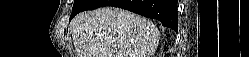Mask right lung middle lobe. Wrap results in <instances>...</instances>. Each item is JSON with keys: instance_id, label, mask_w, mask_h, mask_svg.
Wrapping results in <instances>:
<instances>
[{"instance_id": "obj_1", "label": "right lung middle lobe", "mask_w": 249, "mask_h": 57, "mask_svg": "<svg viewBox=\"0 0 249 57\" xmlns=\"http://www.w3.org/2000/svg\"><path fill=\"white\" fill-rule=\"evenodd\" d=\"M91 0H74L72 14L89 6Z\"/></svg>"}]
</instances>
